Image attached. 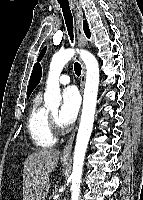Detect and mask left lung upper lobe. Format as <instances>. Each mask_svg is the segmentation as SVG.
Returning <instances> with one entry per match:
<instances>
[{
	"mask_svg": "<svg viewBox=\"0 0 143 200\" xmlns=\"http://www.w3.org/2000/svg\"><path fill=\"white\" fill-rule=\"evenodd\" d=\"M45 51H46V47H45V48H43V50L41 51V53H40V55H39V58H38V60H41V59H42V57H43V55H44Z\"/></svg>",
	"mask_w": 143,
	"mask_h": 200,
	"instance_id": "left-lung-upper-lobe-1",
	"label": "left lung upper lobe"
}]
</instances>
